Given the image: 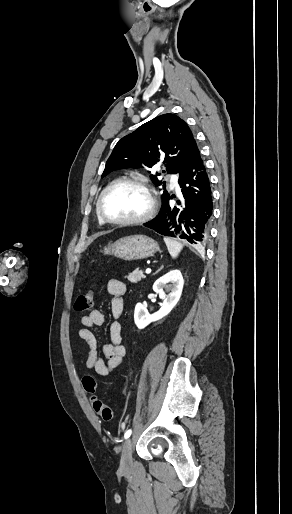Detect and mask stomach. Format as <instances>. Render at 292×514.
<instances>
[{
    "mask_svg": "<svg viewBox=\"0 0 292 514\" xmlns=\"http://www.w3.org/2000/svg\"><path fill=\"white\" fill-rule=\"evenodd\" d=\"M159 250L157 242H154L148 236H126V238H120L114 244H109L108 248L104 250V254L116 256L121 260H144V258L153 256Z\"/></svg>",
    "mask_w": 292,
    "mask_h": 514,
    "instance_id": "0dacf381",
    "label": "stomach"
}]
</instances>
